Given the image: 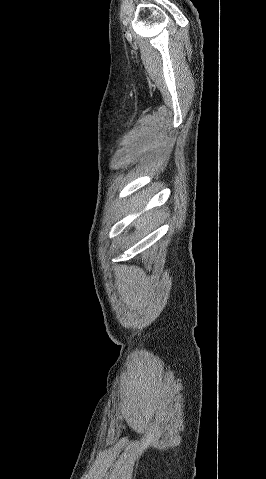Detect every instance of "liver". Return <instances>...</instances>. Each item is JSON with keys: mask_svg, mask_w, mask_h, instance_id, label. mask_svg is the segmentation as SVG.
I'll use <instances>...</instances> for the list:
<instances>
[{"mask_svg": "<svg viewBox=\"0 0 266 479\" xmlns=\"http://www.w3.org/2000/svg\"><path fill=\"white\" fill-rule=\"evenodd\" d=\"M143 204H144V201L139 200L137 206L141 207ZM152 216H154V214H152L151 212L145 213L140 218H138L137 221L134 223L135 227L137 229L145 227V225L147 224V222H149V219H151Z\"/></svg>", "mask_w": 266, "mask_h": 479, "instance_id": "1", "label": "liver"}]
</instances>
